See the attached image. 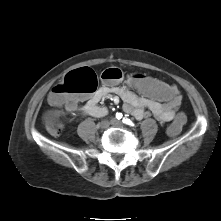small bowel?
I'll return each instance as SVG.
<instances>
[{"mask_svg":"<svg viewBox=\"0 0 221 221\" xmlns=\"http://www.w3.org/2000/svg\"><path fill=\"white\" fill-rule=\"evenodd\" d=\"M176 98L170 104H161L158 101H152L145 95H138L131 89L124 86L105 84L100 86L94 93L89 96L82 95L81 99L85 103L78 107V98L67 107L68 111L78 112L82 116L102 117L107 114V108L100 106L99 103L110 95L119 96L124 102V111L131 114L136 119H142L152 115L162 123L170 122L176 115L177 109L181 104V94L177 86ZM50 102V101H49Z\"/></svg>","mask_w":221,"mask_h":221,"instance_id":"small-bowel-1","label":"small bowel"}]
</instances>
